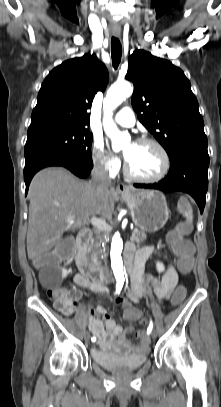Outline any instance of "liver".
Returning <instances> with one entry per match:
<instances>
[{"label": "liver", "instance_id": "liver-1", "mask_svg": "<svg viewBox=\"0 0 221 407\" xmlns=\"http://www.w3.org/2000/svg\"><path fill=\"white\" fill-rule=\"evenodd\" d=\"M28 196L27 254L35 260L59 245L65 232L81 229L92 217L110 218L117 194L108 188L97 194L91 182L63 167H50L33 177Z\"/></svg>", "mask_w": 221, "mask_h": 407}]
</instances>
